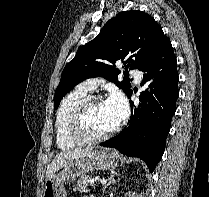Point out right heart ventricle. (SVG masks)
<instances>
[{
    "label": "right heart ventricle",
    "mask_w": 209,
    "mask_h": 197,
    "mask_svg": "<svg viewBox=\"0 0 209 197\" xmlns=\"http://www.w3.org/2000/svg\"><path fill=\"white\" fill-rule=\"evenodd\" d=\"M90 94V91L79 86L68 93L62 100L56 114V144L62 150L75 148L79 144L72 141L67 134V123L71 112Z\"/></svg>",
    "instance_id": "right-heart-ventricle-1"
}]
</instances>
